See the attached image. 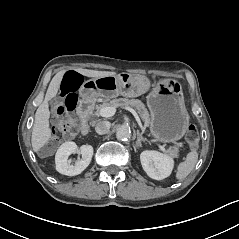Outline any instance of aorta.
<instances>
[{
	"label": "aorta",
	"instance_id": "aorta-1",
	"mask_svg": "<svg viewBox=\"0 0 239 239\" xmlns=\"http://www.w3.org/2000/svg\"><path fill=\"white\" fill-rule=\"evenodd\" d=\"M116 138L118 140L127 141L131 138V130L127 126H121L116 130Z\"/></svg>",
	"mask_w": 239,
	"mask_h": 239
}]
</instances>
